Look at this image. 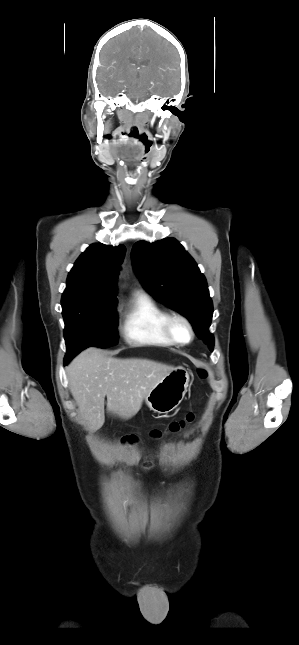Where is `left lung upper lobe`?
<instances>
[{
	"instance_id": "1",
	"label": "left lung upper lobe",
	"mask_w": 299,
	"mask_h": 645,
	"mask_svg": "<svg viewBox=\"0 0 299 645\" xmlns=\"http://www.w3.org/2000/svg\"><path fill=\"white\" fill-rule=\"evenodd\" d=\"M132 263L144 288L157 300L191 322L197 336L210 344L213 304L204 275L184 247L173 238L140 241L131 251Z\"/></svg>"
}]
</instances>
